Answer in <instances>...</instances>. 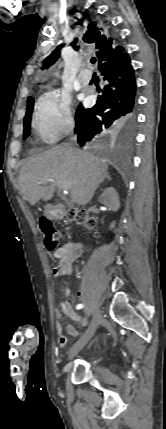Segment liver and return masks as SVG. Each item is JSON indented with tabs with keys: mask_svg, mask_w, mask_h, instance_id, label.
Wrapping results in <instances>:
<instances>
[{
	"mask_svg": "<svg viewBox=\"0 0 166 429\" xmlns=\"http://www.w3.org/2000/svg\"><path fill=\"white\" fill-rule=\"evenodd\" d=\"M107 170L106 159L69 145L55 146L27 160L19 173V189L24 199L35 205L52 198L47 182L69 181L71 202L86 205L108 176Z\"/></svg>",
	"mask_w": 166,
	"mask_h": 429,
	"instance_id": "1",
	"label": "liver"
}]
</instances>
